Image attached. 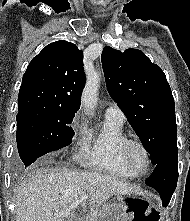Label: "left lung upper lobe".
<instances>
[{
	"label": "left lung upper lobe",
	"mask_w": 190,
	"mask_h": 221,
	"mask_svg": "<svg viewBox=\"0 0 190 221\" xmlns=\"http://www.w3.org/2000/svg\"><path fill=\"white\" fill-rule=\"evenodd\" d=\"M101 60L110 96L155 166L177 149L174 98L164 72L138 49L122 53L106 46Z\"/></svg>",
	"instance_id": "left-lung-upper-lobe-1"
}]
</instances>
